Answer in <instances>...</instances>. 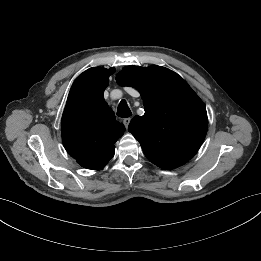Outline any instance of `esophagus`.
<instances>
[{
  "label": "esophagus",
  "instance_id": "esophagus-1",
  "mask_svg": "<svg viewBox=\"0 0 261 261\" xmlns=\"http://www.w3.org/2000/svg\"><path fill=\"white\" fill-rule=\"evenodd\" d=\"M130 121H131V118L129 117V118H125L124 120H123V124H124V126L126 127V129L128 128V126H129V124H130Z\"/></svg>",
  "mask_w": 261,
  "mask_h": 261
}]
</instances>
